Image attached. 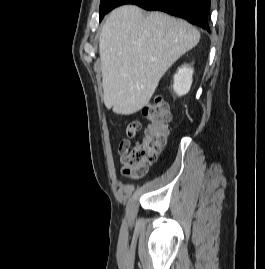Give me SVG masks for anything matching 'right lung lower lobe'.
I'll return each mask as SVG.
<instances>
[{
	"label": "right lung lower lobe",
	"mask_w": 265,
	"mask_h": 269,
	"mask_svg": "<svg viewBox=\"0 0 265 269\" xmlns=\"http://www.w3.org/2000/svg\"><path fill=\"white\" fill-rule=\"evenodd\" d=\"M123 4H135L146 10H158L186 19L210 32V0H114L107 12Z\"/></svg>",
	"instance_id": "right-lung-lower-lobe-1"
}]
</instances>
